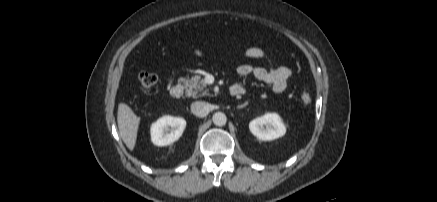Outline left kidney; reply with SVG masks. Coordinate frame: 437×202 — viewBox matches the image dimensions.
Masks as SVG:
<instances>
[{"mask_svg": "<svg viewBox=\"0 0 437 202\" xmlns=\"http://www.w3.org/2000/svg\"><path fill=\"white\" fill-rule=\"evenodd\" d=\"M251 133L262 141L282 137L286 133L285 125L276 113H267L249 123Z\"/></svg>", "mask_w": 437, "mask_h": 202, "instance_id": "obj_1", "label": "left kidney"}]
</instances>
